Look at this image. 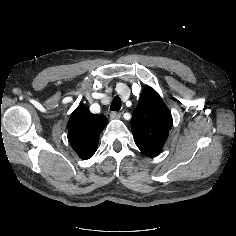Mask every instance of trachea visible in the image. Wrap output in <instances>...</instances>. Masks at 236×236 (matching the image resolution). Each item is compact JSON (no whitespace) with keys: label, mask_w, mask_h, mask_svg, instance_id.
<instances>
[{"label":"trachea","mask_w":236,"mask_h":236,"mask_svg":"<svg viewBox=\"0 0 236 236\" xmlns=\"http://www.w3.org/2000/svg\"><path fill=\"white\" fill-rule=\"evenodd\" d=\"M121 109V99L118 96H115L111 106H110V110L112 111H119Z\"/></svg>","instance_id":"1"}]
</instances>
